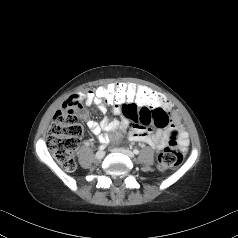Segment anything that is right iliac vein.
<instances>
[{"instance_id":"1","label":"right iliac vein","mask_w":238,"mask_h":238,"mask_svg":"<svg viewBox=\"0 0 238 238\" xmlns=\"http://www.w3.org/2000/svg\"><path fill=\"white\" fill-rule=\"evenodd\" d=\"M104 156H105V152L102 151V150L98 151V152L95 154V158H96L97 160H101Z\"/></svg>"}]
</instances>
